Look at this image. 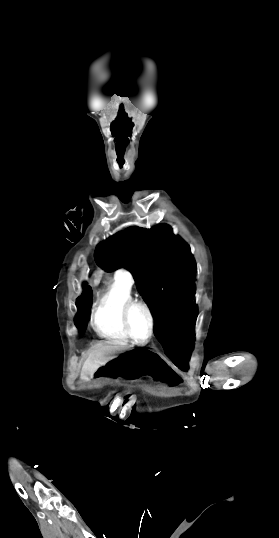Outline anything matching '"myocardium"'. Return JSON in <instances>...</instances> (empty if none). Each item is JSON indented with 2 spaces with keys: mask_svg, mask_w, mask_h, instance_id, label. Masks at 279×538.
I'll list each match as a JSON object with an SVG mask.
<instances>
[{
  "mask_svg": "<svg viewBox=\"0 0 279 538\" xmlns=\"http://www.w3.org/2000/svg\"><path fill=\"white\" fill-rule=\"evenodd\" d=\"M99 208H103V207H99ZM134 308L143 309L145 311L147 317H148L149 335H148V337H147V339L145 341L137 340L134 337V335L132 334L131 327H130V313ZM121 321H122V326H123V329H124L125 333L129 337V339L131 341H133L135 344L145 345V344L149 343L150 340L152 339V337L154 335V332H155V318H154V315H153V312H152L150 306L146 302H143V301L137 300V299H132V300L128 301L122 308Z\"/></svg>",
  "mask_w": 279,
  "mask_h": 538,
  "instance_id": "obj_1",
  "label": "myocardium"
}]
</instances>
